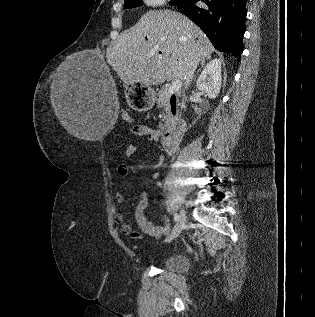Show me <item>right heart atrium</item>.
Instances as JSON below:
<instances>
[{"label": "right heart atrium", "mask_w": 315, "mask_h": 317, "mask_svg": "<svg viewBox=\"0 0 315 317\" xmlns=\"http://www.w3.org/2000/svg\"><path fill=\"white\" fill-rule=\"evenodd\" d=\"M166 2L167 0H144V3L149 7H160Z\"/></svg>", "instance_id": "obj_1"}]
</instances>
